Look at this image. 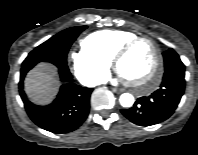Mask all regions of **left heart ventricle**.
<instances>
[{"instance_id": "left-heart-ventricle-1", "label": "left heart ventricle", "mask_w": 198, "mask_h": 155, "mask_svg": "<svg viewBox=\"0 0 198 155\" xmlns=\"http://www.w3.org/2000/svg\"><path fill=\"white\" fill-rule=\"evenodd\" d=\"M155 54L147 42L136 44L118 64V72L127 81L143 82L152 70Z\"/></svg>"}]
</instances>
